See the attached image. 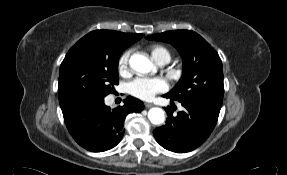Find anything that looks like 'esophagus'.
Returning <instances> with one entry per match:
<instances>
[{
  "instance_id": "34e87169",
  "label": "esophagus",
  "mask_w": 287,
  "mask_h": 175,
  "mask_svg": "<svg viewBox=\"0 0 287 175\" xmlns=\"http://www.w3.org/2000/svg\"><path fill=\"white\" fill-rule=\"evenodd\" d=\"M153 106H154V105H153L152 103H147V102L145 103V107H146V108H151V107H153Z\"/></svg>"
}]
</instances>
